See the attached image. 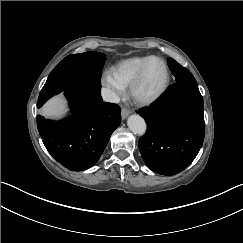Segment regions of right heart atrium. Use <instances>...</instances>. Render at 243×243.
<instances>
[{
	"label": "right heart atrium",
	"mask_w": 243,
	"mask_h": 243,
	"mask_svg": "<svg viewBox=\"0 0 243 243\" xmlns=\"http://www.w3.org/2000/svg\"><path fill=\"white\" fill-rule=\"evenodd\" d=\"M99 86L102 97L109 103H119L127 96L126 88L119 81L112 66L105 67L101 70Z\"/></svg>",
	"instance_id": "obj_1"
}]
</instances>
